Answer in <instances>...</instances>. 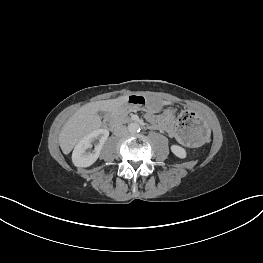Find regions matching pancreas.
Returning a JSON list of instances; mask_svg holds the SVG:
<instances>
[{"label": "pancreas", "instance_id": "obj_1", "mask_svg": "<svg viewBox=\"0 0 263 263\" xmlns=\"http://www.w3.org/2000/svg\"><path fill=\"white\" fill-rule=\"evenodd\" d=\"M112 118L116 124H124L130 121L128 111L123 108L115 110L112 114Z\"/></svg>", "mask_w": 263, "mask_h": 263}]
</instances>
